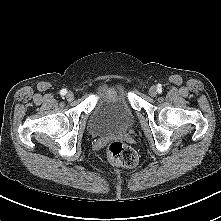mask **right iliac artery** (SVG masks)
Instances as JSON below:
<instances>
[{
  "label": "right iliac artery",
  "instance_id": "82829eb1",
  "mask_svg": "<svg viewBox=\"0 0 221 221\" xmlns=\"http://www.w3.org/2000/svg\"><path fill=\"white\" fill-rule=\"evenodd\" d=\"M67 93V91L65 90V89H62L61 91H60V95H65Z\"/></svg>",
  "mask_w": 221,
  "mask_h": 221
}]
</instances>
